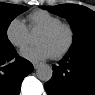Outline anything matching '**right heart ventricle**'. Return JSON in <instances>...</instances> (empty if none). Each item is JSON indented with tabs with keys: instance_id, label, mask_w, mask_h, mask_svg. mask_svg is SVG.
<instances>
[{
	"instance_id": "obj_1",
	"label": "right heart ventricle",
	"mask_w": 95,
	"mask_h": 95,
	"mask_svg": "<svg viewBox=\"0 0 95 95\" xmlns=\"http://www.w3.org/2000/svg\"><path fill=\"white\" fill-rule=\"evenodd\" d=\"M29 30L31 32L42 31L48 27L62 22V20L48 11L36 10L28 16Z\"/></svg>"
}]
</instances>
